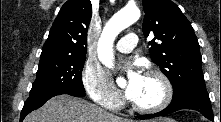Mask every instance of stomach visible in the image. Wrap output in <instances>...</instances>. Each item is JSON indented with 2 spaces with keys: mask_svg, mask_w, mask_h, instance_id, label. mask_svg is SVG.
Here are the masks:
<instances>
[{
  "mask_svg": "<svg viewBox=\"0 0 221 122\" xmlns=\"http://www.w3.org/2000/svg\"><path fill=\"white\" fill-rule=\"evenodd\" d=\"M151 122H175V121L172 119H168V118H159V119L152 120Z\"/></svg>",
  "mask_w": 221,
  "mask_h": 122,
  "instance_id": "0dacf381",
  "label": "stomach"
}]
</instances>
